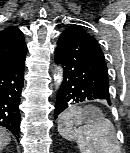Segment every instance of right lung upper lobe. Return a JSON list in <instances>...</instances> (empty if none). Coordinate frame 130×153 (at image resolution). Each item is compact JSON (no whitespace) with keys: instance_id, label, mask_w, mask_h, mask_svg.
I'll return each instance as SVG.
<instances>
[{"instance_id":"obj_1","label":"right lung upper lobe","mask_w":130,"mask_h":153,"mask_svg":"<svg viewBox=\"0 0 130 153\" xmlns=\"http://www.w3.org/2000/svg\"><path fill=\"white\" fill-rule=\"evenodd\" d=\"M26 51L23 33L17 27L11 26L0 31V66L21 61Z\"/></svg>"}]
</instances>
